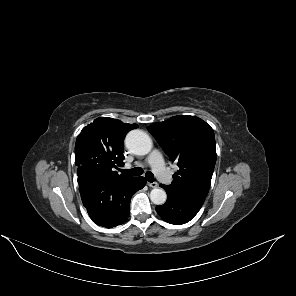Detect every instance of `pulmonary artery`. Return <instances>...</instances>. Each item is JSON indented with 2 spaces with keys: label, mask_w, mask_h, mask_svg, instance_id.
I'll use <instances>...</instances> for the list:
<instances>
[{
  "label": "pulmonary artery",
  "mask_w": 296,
  "mask_h": 296,
  "mask_svg": "<svg viewBox=\"0 0 296 296\" xmlns=\"http://www.w3.org/2000/svg\"><path fill=\"white\" fill-rule=\"evenodd\" d=\"M146 161L151 166L157 177H159L165 183H170L171 175L165 167L162 153L159 150H153L147 157ZM125 168H129V165H126Z\"/></svg>",
  "instance_id": "obj_1"
}]
</instances>
